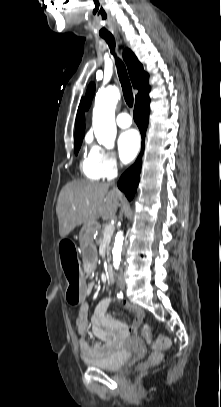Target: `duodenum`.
<instances>
[{"instance_id": "410a0bca", "label": "duodenum", "mask_w": 221, "mask_h": 407, "mask_svg": "<svg viewBox=\"0 0 221 407\" xmlns=\"http://www.w3.org/2000/svg\"><path fill=\"white\" fill-rule=\"evenodd\" d=\"M106 274H107L108 280H110V281H113V280H114V274H113V270H112V267H111V266H108V267H107Z\"/></svg>"}]
</instances>
